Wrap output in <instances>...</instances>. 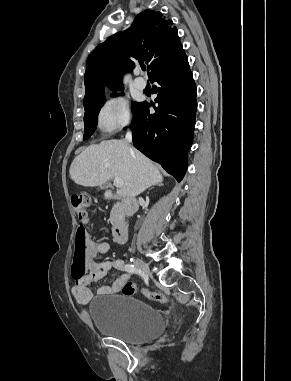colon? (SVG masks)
Here are the masks:
<instances>
[{"mask_svg": "<svg viewBox=\"0 0 291 381\" xmlns=\"http://www.w3.org/2000/svg\"><path fill=\"white\" fill-rule=\"evenodd\" d=\"M72 205L75 213L81 223L77 229L76 241H75V256L74 261L79 271L84 272L87 248H88V233L84 224L89 220L90 216V202L89 199L82 196H75L72 199ZM123 295H135L137 294V287L133 282H126L121 287ZM143 296L151 301L159 303H168L169 299L165 295L157 292L146 291L143 292Z\"/></svg>", "mask_w": 291, "mask_h": 381, "instance_id": "obj_1", "label": "colon"}]
</instances>
